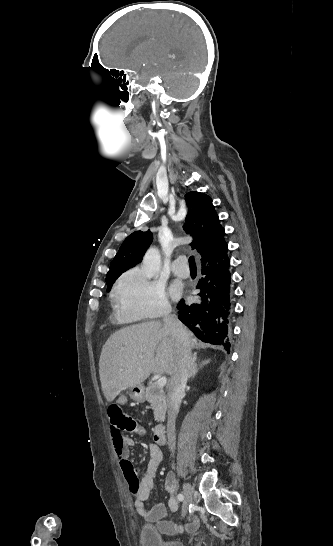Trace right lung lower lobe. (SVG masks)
<instances>
[{
  "label": "right lung lower lobe",
  "mask_w": 333,
  "mask_h": 546,
  "mask_svg": "<svg viewBox=\"0 0 333 546\" xmlns=\"http://www.w3.org/2000/svg\"><path fill=\"white\" fill-rule=\"evenodd\" d=\"M201 273L197 289L200 302L186 305L181 300L177 309L179 319L202 341L222 345L229 352L228 329L231 309L230 260L227 244L209 260L201 261Z\"/></svg>",
  "instance_id": "98d812e1"
}]
</instances>
